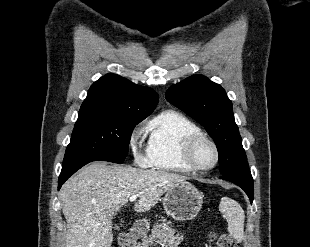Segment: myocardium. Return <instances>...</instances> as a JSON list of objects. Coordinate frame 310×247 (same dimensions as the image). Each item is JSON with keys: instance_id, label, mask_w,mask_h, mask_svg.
Instances as JSON below:
<instances>
[{"instance_id": "f54148a6", "label": "myocardium", "mask_w": 310, "mask_h": 247, "mask_svg": "<svg viewBox=\"0 0 310 247\" xmlns=\"http://www.w3.org/2000/svg\"><path fill=\"white\" fill-rule=\"evenodd\" d=\"M202 141L209 143L212 146L214 153H215L214 162L211 165L206 166V167H201V166L196 165L193 160L194 150L196 146ZM182 158L185 164L188 166V168L191 171L206 172V171L213 169L218 164L219 159H220V152L214 140H212L210 137L202 133H199V134H194L186 139L183 145V149H182Z\"/></svg>"}]
</instances>
